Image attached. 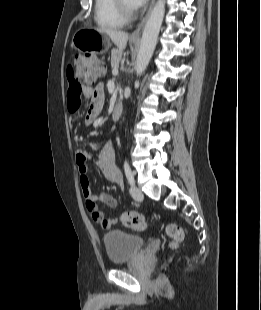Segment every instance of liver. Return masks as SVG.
<instances>
[{"instance_id":"6515ba94","label":"liver","mask_w":261,"mask_h":310,"mask_svg":"<svg viewBox=\"0 0 261 310\" xmlns=\"http://www.w3.org/2000/svg\"><path fill=\"white\" fill-rule=\"evenodd\" d=\"M99 32L105 33L120 51L124 50L128 41V33L114 29H97Z\"/></svg>"}]
</instances>
